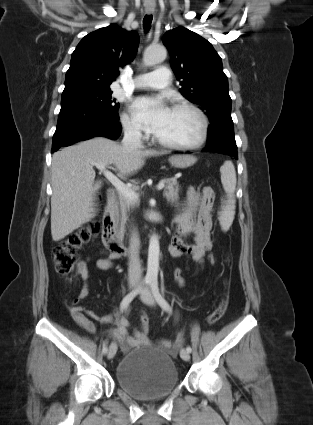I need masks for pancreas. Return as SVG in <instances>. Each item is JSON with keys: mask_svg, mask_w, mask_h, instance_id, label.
Here are the masks:
<instances>
[{"mask_svg": "<svg viewBox=\"0 0 313 425\" xmlns=\"http://www.w3.org/2000/svg\"><path fill=\"white\" fill-rule=\"evenodd\" d=\"M162 182L166 183L163 195L169 202H175L179 199V185L175 178H166L163 179ZM133 191H137L140 189L139 186L131 187ZM138 200L132 201L125 198L122 194H118V199L116 201V215H117V224L119 226V231L121 233L125 232V224L128 219L127 213L130 208L138 206Z\"/></svg>", "mask_w": 313, "mask_h": 425, "instance_id": "1", "label": "pancreas"}]
</instances>
